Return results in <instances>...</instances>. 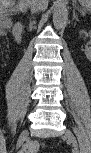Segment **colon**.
<instances>
[{
    "label": "colon",
    "instance_id": "obj_1",
    "mask_svg": "<svg viewBox=\"0 0 91 153\" xmlns=\"http://www.w3.org/2000/svg\"><path fill=\"white\" fill-rule=\"evenodd\" d=\"M1 24L4 28H7L9 26V20L5 17L1 18ZM43 145L39 141H29L27 142L23 148L21 149V153H36L39 152L42 149Z\"/></svg>",
    "mask_w": 91,
    "mask_h": 153
}]
</instances>
